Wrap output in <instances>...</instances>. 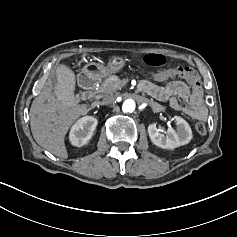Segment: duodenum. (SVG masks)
I'll return each mask as SVG.
<instances>
[{
  "label": "duodenum",
  "mask_w": 237,
  "mask_h": 237,
  "mask_svg": "<svg viewBox=\"0 0 237 237\" xmlns=\"http://www.w3.org/2000/svg\"><path fill=\"white\" fill-rule=\"evenodd\" d=\"M100 77L101 74L98 67L95 65H89L81 72L78 81L83 89L91 90L99 82Z\"/></svg>",
  "instance_id": "1"
}]
</instances>
